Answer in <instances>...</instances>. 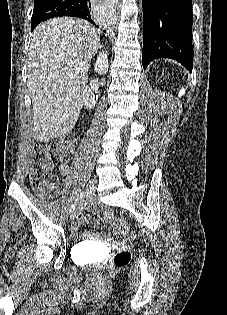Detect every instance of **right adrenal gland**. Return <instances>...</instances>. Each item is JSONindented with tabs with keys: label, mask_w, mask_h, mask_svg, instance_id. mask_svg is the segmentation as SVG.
Here are the masks:
<instances>
[{
	"label": "right adrenal gland",
	"mask_w": 227,
	"mask_h": 315,
	"mask_svg": "<svg viewBox=\"0 0 227 315\" xmlns=\"http://www.w3.org/2000/svg\"><path fill=\"white\" fill-rule=\"evenodd\" d=\"M98 48H99V49H102V48H103V45L99 43Z\"/></svg>",
	"instance_id": "1"
}]
</instances>
